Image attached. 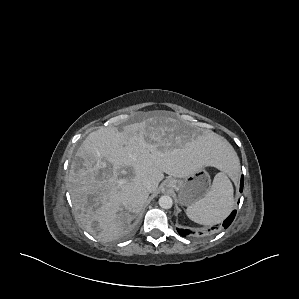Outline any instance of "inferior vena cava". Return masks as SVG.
Segmentation results:
<instances>
[{"instance_id":"602c4592","label":"inferior vena cava","mask_w":299,"mask_h":299,"mask_svg":"<svg viewBox=\"0 0 299 299\" xmlns=\"http://www.w3.org/2000/svg\"><path fill=\"white\" fill-rule=\"evenodd\" d=\"M144 186L147 189V191H149V192L151 191V183L149 181H145Z\"/></svg>"}]
</instances>
